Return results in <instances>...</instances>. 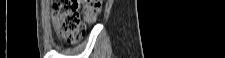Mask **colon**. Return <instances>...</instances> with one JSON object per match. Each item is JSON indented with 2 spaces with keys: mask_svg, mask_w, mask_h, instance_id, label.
Instances as JSON below:
<instances>
[{
  "mask_svg": "<svg viewBox=\"0 0 225 58\" xmlns=\"http://www.w3.org/2000/svg\"><path fill=\"white\" fill-rule=\"evenodd\" d=\"M53 24L57 35L68 42H76L84 33V23L92 22L101 11V2L97 0H54Z\"/></svg>",
  "mask_w": 225,
  "mask_h": 58,
  "instance_id": "colon-1",
  "label": "colon"
}]
</instances>
